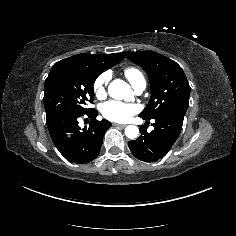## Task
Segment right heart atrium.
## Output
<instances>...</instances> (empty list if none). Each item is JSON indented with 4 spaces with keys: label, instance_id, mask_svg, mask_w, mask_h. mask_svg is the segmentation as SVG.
I'll list each match as a JSON object with an SVG mask.
<instances>
[{
    "label": "right heart atrium",
    "instance_id": "obj_1",
    "mask_svg": "<svg viewBox=\"0 0 236 236\" xmlns=\"http://www.w3.org/2000/svg\"><path fill=\"white\" fill-rule=\"evenodd\" d=\"M109 83V76L105 73L100 75L94 82L93 91L97 99L101 100L106 97V90Z\"/></svg>",
    "mask_w": 236,
    "mask_h": 236
}]
</instances>
